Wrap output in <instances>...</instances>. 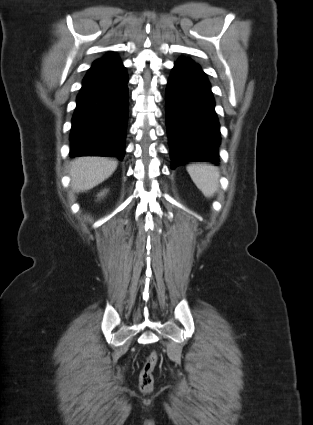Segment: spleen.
<instances>
[{
	"label": "spleen",
	"mask_w": 313,
	"mask_h": 425,
	"mask_svg": "<svg viewBox=\"0 0 313 425\" xmlns=\"http://www.w3.org/2000/svg\"><path fill=\"white\" fill-rule=\"evenodd\" d=\"M187 171L205 197H212L216 193L220 176L217 167L204 163L191 164L187 166Z\"/></svg>",
	"instance_id": "spleen-1"
}]
</instances>
